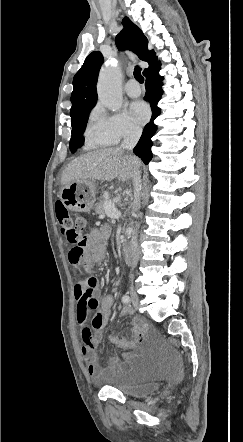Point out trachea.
Segmentation results:
<instances>
[{
    "instance_id": "trachea-1",
    "label": "trachea",
    "mask_w": 243,
    "mask_h": 442,
    "mask_svg": "<svg viewBox=\"0 0 243 442\" xmlns=\"http://www.w3.org/2000/svg\"><path fill=\"white\" fill-rule=\"evenodd\" d=\"M134 77L135 79L139 82V83H143L144 82V78L141 74V68L139 66H136L134 69Z\"/></svg>"
}]
</instances>
